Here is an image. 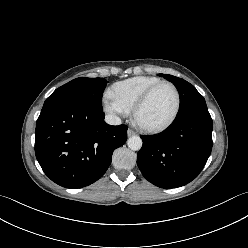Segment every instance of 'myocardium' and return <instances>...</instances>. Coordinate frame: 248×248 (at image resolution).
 Returning <instances> with one entry per match:
<instances>
[{
	"mask_svg": "<svg viewBox=\"0 0 248 248\" xmlns=\"http://www.w3.org/2000/svg\"><path fill=\"white\" fill-rule=\"evenodd\" d=\"M163 85H168L170 86L174 93H175V97H176V104H175V108L173 110V113L171 114V116L162 124L159 125H146L144 123H142L139 119V113L141 111V109L145 106V104L148 102V100L150 99V97L152 96V94L160 87ZM180 106H181V96H180V92L178 90V88L176 87V85L170 81L167 80H161L157 83H155L154 85H152L149 89H147L143 95L138 99V101L136 102V104L133 107V120L134 123L136 124V126L141 129L144 132L147 133H159L162 132L164 130H166L167 128H169L174 121L176 120L179 111H180Z\"/></svg>",
	"mask_w": 248,
	"mask_h": 248,
	"instance_id": "myocardium-1",
	"label": "myocardium"
}]
</instances>
